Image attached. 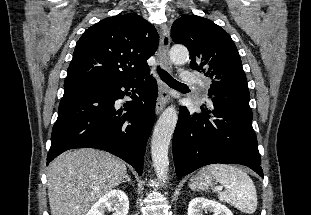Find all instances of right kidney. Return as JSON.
Wrapping results in <instances>:
<instances>
[{"label":"right kidney","mask_w":311,"mask_h":215,"mask_svg":"<svg viewBox=\"0 0 311 215\" xmlns=\"http://www.w3.org/2000/svg\"><path fill=\"white\" fill-rule=\"evenodd\" d=\"M112 210L113 215H127L129 199L124 191L110 190L91 207L86 215H104L106 210Z\"/></svg>","instance_id":"ca27d5eb"}]
</instances>
